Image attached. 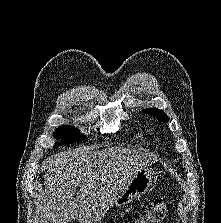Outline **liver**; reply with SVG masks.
Here are the masks:
<instances>
[{
    "label": "liver",
    "mask_w": 221,
    "mask_h": 223,
    "mask_svg": "<svg viewBox=\"0 0 221 223\" xmlns=\"http://www.w3.org/2000/svg\"><path fill=\"white\" fill-rule=\"evenodd\" d=\"M151 162L147 152L121 147L77 148L49 157L40 223L100 222L134 173ZM77 186L80 192L74 198Z\"/></svg>",
    "instance_id": "liver-1"
}]
</instances>
